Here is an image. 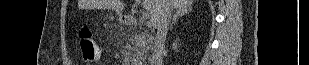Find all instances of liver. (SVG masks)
I'll return each mask as SVG.
<instances>
[{
	"instance_id": "1",
	"label": "liver",
	"mask_w": 309,
	"mask_h": 65,
	"mask_svg": "<svg viewBox=\"0 0 309 65\" xmlns=\"http://www.w3.org/2000/svg\"><path fill=\"white\" fill-rule=\"evenodd\" d=\"M192 4L193 0H142L143 8L149 13L150 22L154 28L157 27L161 15L166 10H177L191 6ZM79 5L83 8L114 10L118 15L122 14L126 6L123 0H82Z\"/></svg>"
}]
</instances>
